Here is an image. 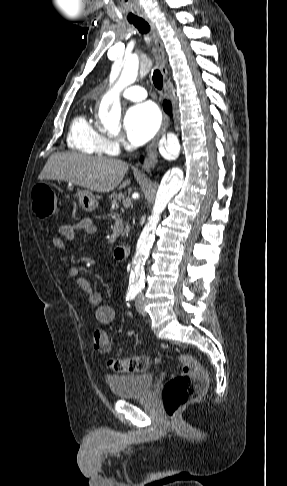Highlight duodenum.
Listing matches in <instances>:
<instances>
[{
  "label": "duodenum",
  "mask_w": 287,
  "mask_h": 486,
  "mask_svg": "<svg viewBox=\"0 0 287 486\" xmlns=\"http://www.w3.org/2000/svg\"><path fill=\"white\" fill-rule=\"evenodd\" d=\"M130 253V247L128 245H117L114 250V256L117 260H124Z\"/></svg>",
  "instance_id": "obj_1"
}]
</instances>
